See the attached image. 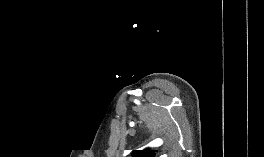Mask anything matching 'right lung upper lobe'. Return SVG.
<instances>
[{
	"instance_id": "obj_1",
	"label": "right lung upper lobe",
	"mask_w": 264,
	"mask_h": 157,
	"mask_svg": "<svg viewBox=\"0 0 264 157\" xmlns=\"http://www.w3.org/2000/svg\"><path fill=\"white\" fill-rule=\"evenodd\" d=\"M155 151L151 149L137 150L132 157H155Z\"/></svg>"
}]
</instances>
